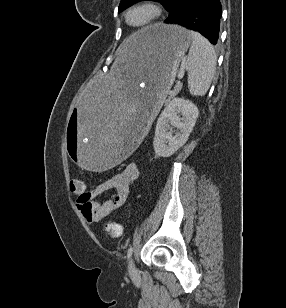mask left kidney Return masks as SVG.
I'll list each match as a JSON object with an SVG mask.
<instances>
[{"instance_id": "obj_1", "label": "left kidney", "mask_w": 286, "mask_h": 308, "mask_svg": "<svg viewBox=\"0 0 286 308\" xmlns=\"http://www.w3.org/2000/svg\"><path fill=\"white\" fill-rule=\"evenodd\" d=\"M198 115L199 111L194 103L184 98H173L157 120L153 141L155 154L170 157L182 147L188 140ZM171 126L180 130L175 136L172 135Z\"/></svg>"}]
</instances>
